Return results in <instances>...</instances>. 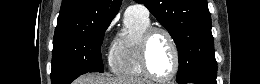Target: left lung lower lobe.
I'll use <instances>...</instances> for the list:
<instances>
[{
    "instance_id": "obj_1",
    "label": "left lung lower lobe",
    "mask_w": 260,
    "mask_h": 84,
    "mask_svg": "<svg viewBox=\"0 0 260 84\" xmlns=\"http://www.w3.org/2000/svg\"><path fill=\"white\" fill-rule=\"evenodd\" d=\"M188 82L195 83V84H217L216 78H195L189 80Z\"/></svg>"
}]
</instances>
